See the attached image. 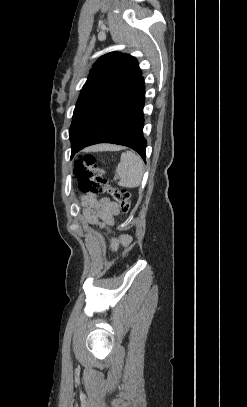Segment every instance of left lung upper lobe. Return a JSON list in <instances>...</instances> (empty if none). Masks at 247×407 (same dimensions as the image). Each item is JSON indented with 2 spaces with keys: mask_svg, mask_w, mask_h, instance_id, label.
I'll return each instance as SVG.
<instances>
[{
  "mask_svg": "<svg viewBox=\"0 0 247 407\" xmlns=\"http://www.w3.org/2000/svg\"><path fill=\"white\" fill-rule=\"evenodd\" d=\"M140 76L138 61L128 54L113 52L99 58L74 109L69 129L71 156L104 109Z\"/></svg>",
  "mask_w": 247,
  "mask_h": 407,
  "instance_id": "left-lung-upper-lobe-1",
  "label": "left lung upper lobe"
}]
</instances>
